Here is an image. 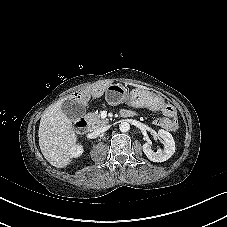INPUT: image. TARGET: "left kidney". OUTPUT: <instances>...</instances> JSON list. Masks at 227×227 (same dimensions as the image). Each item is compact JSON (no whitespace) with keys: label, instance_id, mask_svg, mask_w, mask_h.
I'll list each match as a JSON object with an SVG mask.
<instances>
[{"label":"left kidney","instance_id":"5707ae66","mask_svg":"<svg viewBox=\"0 0 227 227\" xmlns=\"http://www.w3.org/2000/svg\"><path fill=\"white\" fill-rule=\"evenodd\" d=\"M158 135L164 141V149H158L156 152H154L152 149V143L146 142L145 144H143V152L150 161L164 162L174 154L175 141L172 135L163 129H160L158 131Z\"/></svg>","mask_w":227,"mask_h":227}]
</instances>
